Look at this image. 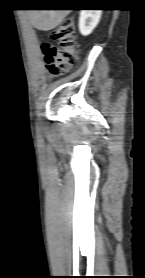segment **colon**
I'll return each instance as SVG.
<instances>
[{
	"mask_svg": "<svg viewBox=\"0 0 145 278\" xmlns=\"http://www.w3.org/2000/svg\"><path fill=\"white\" fill-rule=\"evenodd\" d=\"M47 36L48 40L41 44V51L46 57V68L52 76H61L76 63L79 52L72 19H64Z\"/></svg>",
	"mask_w": 145,
	"mask_h": 278,
	"instance_id": "1",
	"label": "colon"
}]
</instances>
